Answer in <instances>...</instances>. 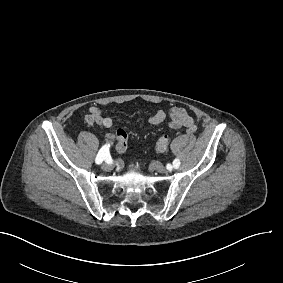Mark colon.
Segmentation results:
<instances>
[{
    "mask_svg": "<svg viewBox=\"0 0 283 283\" xmlns=\"http://www.w3.org/2000/svg\"><path fill=\"white\" fill-rule=\"evenodd\" d=\"M169 141H170V138L167 134L160 136L155 143V149L157 151L165 150L169 144Z\"/></svg>",
    "mask_w": 283,
    "mask_h": 283,
    "instance_id": "colon-1",
    "label": "colon"
}]
</instances>
